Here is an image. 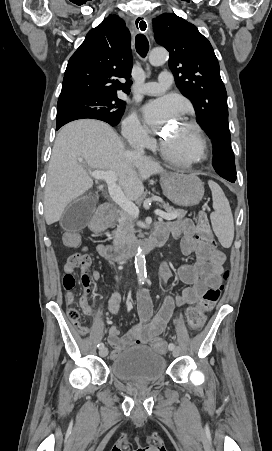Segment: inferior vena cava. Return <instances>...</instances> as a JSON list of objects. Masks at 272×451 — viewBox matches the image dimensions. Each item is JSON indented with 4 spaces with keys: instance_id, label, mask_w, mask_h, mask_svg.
Here are the masks:
<instances>
[{
    "instance_id": "1",
    "label": "inferior vena cava",
    "mask_w": 272,
    "mask_h": 451,
    "mask_svg": "<svg viewBox=\"0 0 272 451\" xmlns=\"http://www.w3.org/2000/svg\"><path fill=\"white\" fill-rule=\"evenodd\" d=\"M133 154H136V156H143L144 146H143V142H141V140H137V142H134Z\"/></svg>"
}]
</instances>
